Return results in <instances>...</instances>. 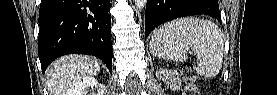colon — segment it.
I'll return each mask as SVG.
<instances>
[{"mask_svg":"<svg viewBox=\"0 0 277 95\" xmlns=\"http://www.w3.org/2000/svg\"><path fill=\"white\" fill-rule=\"evenodd\" d=\"M183 80H184V93L185 95H195L198 94L195 79L197 77L198 71L196 65L193 63L184 64L181 68Z\"/></svg>","mask_w":277,"mask_h":95,"instance_id":"1","label":"colon"}]
</instances>
